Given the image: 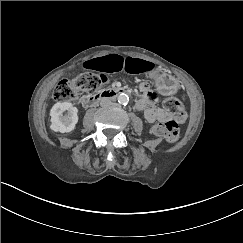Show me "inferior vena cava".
<instances>
[{
    "label": "inferior vena cava",
    "instance_id": "obj_1",
    "mask_svg": "<svg viewBox=\"0 0 243 243\" xmlns=\"http://www.w3.org/2000/svg\"><path fill=\"white\" fill-rule=\"evenodd\" d=\"M111 100L108 98V97H103L101 100H100V106L101 107H108L111 105Z\"/></svg>",
    "mask_w": 243,
    "mask_h": 243
}]
</instances>
